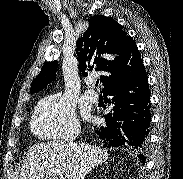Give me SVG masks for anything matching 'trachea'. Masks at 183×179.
I'll return each mask as SVG.
<instances>
[{
    "mask_svg": "<svg viewBox=\"0 0 183 179\" xmlns=\"http://www.w3.org/2000/svg\"><path fill=\"white\" fill-rule=\"evenodd\" d=\"M98 83H99V80L96 82V85H98Z\"/></svg>",
    "mask_w": 183,
    "mask_h": 179,
    "instance_id": "trachea-1",
    "label": "trachea"
}]
</instances>
